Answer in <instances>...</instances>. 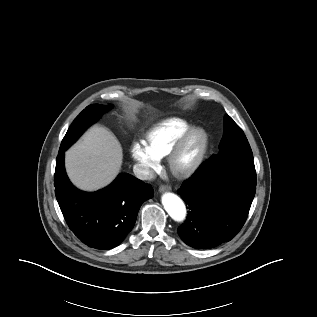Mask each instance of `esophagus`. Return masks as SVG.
<instances>
[{
	"mask_svg": "<svg viewBox=\"0 0 317 317\" xmlns=\"http://www.w3.org/2000/svg\"><path fill=\"white\" fill-rule=\"evenodd\" d=\"M171 187L169 185H161L159 188L160 192H166V191H170Z\"/></svg>",
	"mask_w": 317,
	"mask_h": 317,
	"instance_id": "1",
	"label": "esophagus"
}]
</instances>
